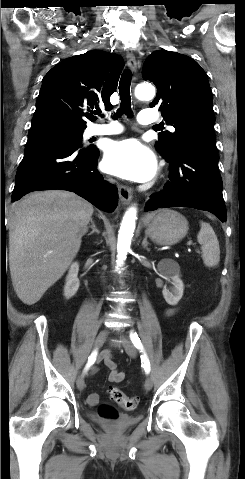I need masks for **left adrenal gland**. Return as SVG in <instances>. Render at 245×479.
I'll return each mask as SVG.
<instances>
[{"mask_svg": "<svg viewBox=\"0 0 245 479\" xmlns=\"http://www.w3.org/2000/svg\"><path fill=\"white\" fill-rule=\"evenodd\" d=\"M142 246H143V248H145L147 251H150V249L148 248L147 236L144 237V239H143V241H142Z\"/></svg>", "mask_w": 245, "mask_h": 479, "instance_id": "a2214340", "label": "left adrenal gland"}]
</instances>
